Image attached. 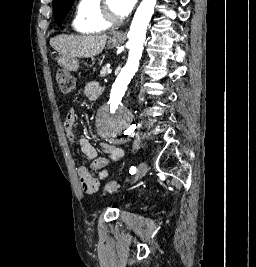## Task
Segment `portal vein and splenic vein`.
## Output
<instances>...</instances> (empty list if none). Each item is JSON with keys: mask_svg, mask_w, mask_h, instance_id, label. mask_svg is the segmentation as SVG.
<instances>
[{"mask_svg": "<svg viewBox=\"0 0 256 267\" xmlns=\"http://www.w3.org/2000/svg\"><path fill=\"white\" fill-rule=\"evenodd\" d=\"M107 73H108V74H111V73H112V68H109V69L107 70Z\"/></svg>", "mask_w": 256, "mask_h": 267, "instance_id": "1", "label": "portal vein and splenic vein"}]
</instances>
